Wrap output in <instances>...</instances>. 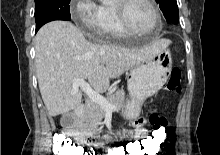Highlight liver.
I'll use <instances>...</instances> for the list:
<instances>
[{
    "label": "liver",
    "instance_id": "obj_1",
    "mask_svg": "<svg viewBox=\"0 0 220 155\" xmlns=\"http://www.w3.org/2000/svg\"><path fill=\"white\" fill-rule=\"evenodd\" d=\"M169 43L162 40L143 49L99 45L86 40L71 22L45 24L35 38V66L49 116L65 114L81 104V91L72 93L74 79H87L94 90L104 92L112 78L152 59Z\"/></svg>",
    "mask_w": 220,
    "mask_h": 155
}]
</instances>
